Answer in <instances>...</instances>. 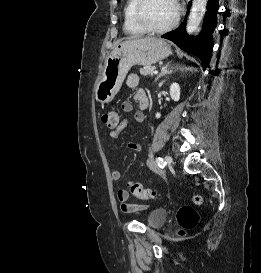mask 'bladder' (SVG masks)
Instances as JSON below:
<instances>
[{
  "mask_svg": "<svg viewBox=\"0 0 261 273\" xmlns=\"http://www.w3.org/2000/svg\"><path fill=\"white\" fill-rule=\"evenodd\" d=\"M167 219V213L163 209H155L147 217V224L151 228H157L164 224Z\"/></svg>",
  "mask_w": 261,
  "mask_h": 273,
  "instance_id": "bladder-1",
  "label": "bladder"
}]
</instances>
